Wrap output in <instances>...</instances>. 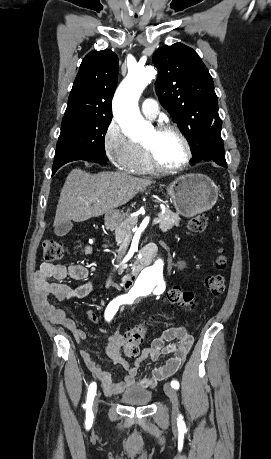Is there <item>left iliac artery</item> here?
<instances>
[{
  "mask_svg": "<svg viewBox=\"0 0 271 459\" xmlns=\"http://www.w3.org/2000/svg\"><path fill=\"white\" fill-rule=\"evenodd\" d=\"M171 386H172L174 389H178V388H179V383H178V381H176V380L171 381Z\"/></svg>",
  "mask_w": 271,
  "mask_h": 459,
  "instance_id": "obj_1",
  "label": "left iliac artery"
}]
</instances>
